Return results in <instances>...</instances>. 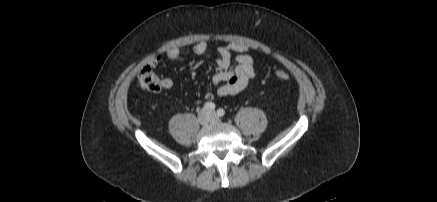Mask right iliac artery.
Wrapping results in <instances>:
<instances>
[{
	"label": "right iliac artery",
	"instance_id": "obj_1",
	"mask_svg": "<svg viewBox=\"0 0 437 202\" xmlns=\"http://www.w3.org/2000/svg\"><path fill=\"white\" fill-rule=\"evenodd\" d=\"M215 104L213 103V102H206L205 104H204V108L206 109V110H210V111H212V110H214L215 109Z\"/></svg>",
	"mask_w": 437,
	"mask_h": 202
}]
</instances>
